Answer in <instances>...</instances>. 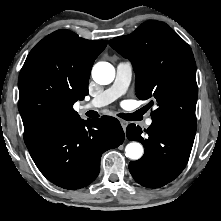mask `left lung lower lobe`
I'll use <instances>...</instances> for the list:
<instances>
[{
	"mask_svg": "<svg viewBox=\"0 0 221 221\" xmlns=\"http://www.w3.org/2000/svg\"><path fill=\"white\" fill-rule=\"evenodd\" d=\"M152 120L144 131L135 124L126 129L129 140L139 141L145 147L143 157L130 162L129 170L139 184L159 188L174 180L185 168L196 129L156 118Z\"/></svg>",
	"mask_w": 221,
	"mask_h": 221,
	"instance_id": "1",
	"label": "left lung lower lobe"
}]
</instances>
